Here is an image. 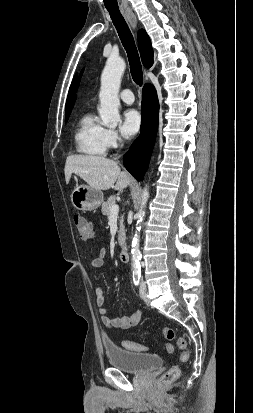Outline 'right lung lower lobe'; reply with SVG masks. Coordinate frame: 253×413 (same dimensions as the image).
<instances>
[{"label": "right lung lower lobe", "mask_w": 253, "mask_h": 413, "mask_svg": "<svg viewBox=\"0 0 253 413\" xmlns=\"http://www.w3.org/2000/svg\"><path fill=\"white\" fill-rule=\"evenodd\" d=\"M141 109L140 135L123 157L125 168L139 181L148 168L158 125V98L155 88L150 84L143 87Z\"/></svg>", "instance_id": "obj_1"}]
</instances>
